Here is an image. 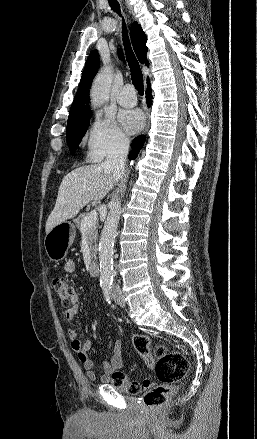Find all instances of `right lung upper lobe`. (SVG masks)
<instances>
[{
  "instance_id": "1",
  "label": "right lung upper lobe",
  "mask_w": 257,
  "mask_h": 439,
  "mask_svg": "<svg viewBox=\"0 0 257 439\" xmlns=\"http://www.w3.org/2000/svg\"><path fill=\"white\" fill-rule=\"evenodd\" d=\"M130 35H131L133 48L135 50V53L139 61L141 63H144L146 66H149V63L146 59V53L148 51L146 47L147 37L143 32L141 26L137 22H134L132 24L130 29ZM119 57L122 58V52L120 49H119ZM98 69H99V54L97 50H94L90 53V55L87 58L84 71L82 73V77L80 80L79 89L71 105L69 118L91 114V110L88 104L89 89L91 87L93 78L96 75Z\"/></svg>"
}]
</instances>
